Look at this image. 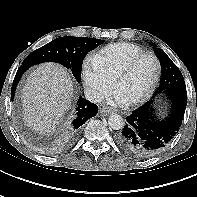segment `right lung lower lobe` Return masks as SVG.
Returning a JSON list of instances; mask_svg holds the SVG:
<instances>
[{"label": "right lung lower lobe", "instance_id": "obj_1", "mask_svg": "<svg viewBox=\"0 0 197 197\" xmlns=\"http://www.w3.org/2000/svg\"><path fill=\"white\" fill-rule=\"evenodd\" d=\"M29 65L22 64L14 78L12 90H11V98H14V93L18 82L23 75V73L29 68ZM98 112L97 105L89 102L84 98H79L78 106L76 108L75 117L72 123L68 126L67 131L70 136L74 135L79 128L90 118L94 117Z\"/></svg>", "mask_w": 197, "mask_h": 197}]
</instances>
